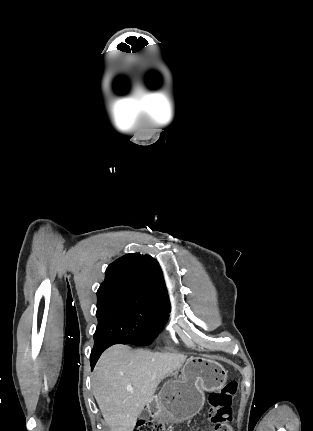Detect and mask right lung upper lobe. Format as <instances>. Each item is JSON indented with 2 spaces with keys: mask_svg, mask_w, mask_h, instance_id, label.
Masks as SVG:
<instances>
[{
  "mask_svg": "<svg viewBox=\"0 0 313 431\" xmlns=\"http://www.w3.org/2000/svg\"><path fill=\"white\" fill-rule=\"evenodd\" d=\"M108 293L126 295L158 307L170 308L161 268L148 255L131 253L111 263L97 296Z\"/></svg>",
  "mask_w": 313,
  "mask_h": 431,
  "instance_id": "right-lung-upper-lobe-1",
  "label": "right lung upper lobe"
}]
</instances>
